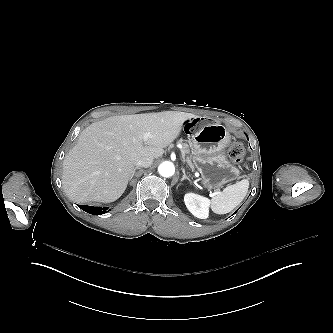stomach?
<instances>
[{
  "instance_id": "0dacf381",
  "label": "stomach",
  "mask_w": 333,
  "mask_h": 333,
  "mask_svg": "<svg viewBox=\"0 0 333 333\" xmlns=\"http://www.w3.org/2000/svg\"><path fill=\"white\" fill-rule=\"evenodd\" d=\"M229 138L223 126L203 119L201 129L191 136L195 167L201 174V183L207 189L220 188L239 178L240 170L225 155Z\"/></svg>"
}]
</instances>
